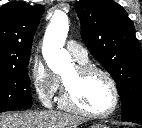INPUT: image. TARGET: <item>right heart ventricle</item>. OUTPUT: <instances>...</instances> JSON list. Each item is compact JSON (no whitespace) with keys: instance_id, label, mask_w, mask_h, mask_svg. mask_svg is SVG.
I'll use <instances>...</instances> for the list:
<instances>
[{"instance_id":"e07e8e85","label":"right heart ventricle","mask_w":142,"mask_h":128,"mask_svg":"<svg viewBox=\"0 0 142 128\" xmlns=\"http://www.w3.org/2000/svg\"><path fill=\"white\" fill-rule=\"evenodd\" d=\"M81 64H86L87 63V61L86 62H80Z\"/></svg>"}]
</instances>
